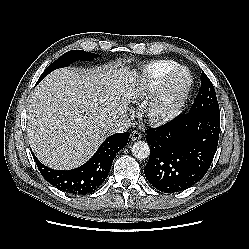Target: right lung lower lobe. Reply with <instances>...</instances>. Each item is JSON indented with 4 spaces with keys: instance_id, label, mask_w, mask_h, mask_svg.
Listing matches in <instances>:
<instances>
[{
    "instance_id": "98d812e1",
    "label": "right lung lower lobe",
    "mask_w": 249,
    "mask_h": 249,
    "mask_svg": "<svg viewBox=\"0 0 249 249\" xmlns=\"http://www.w3.org/2000/svg\"><path fill=\"white\" fill-rule=\"evenodd\" d=\"M129 135V132L111 135L88 162L73 170L50 169L32 155L40 173L50 184L67 193L85 195L101 186L108 176L115 155L127 144Z\"/></svg>"
}]
</instances>
